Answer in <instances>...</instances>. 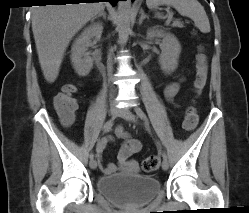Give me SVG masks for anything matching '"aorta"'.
I'll use <instances>...</instances> for the list:
<instances>
[{
	"instance_id": "1",
	"label": "aorta",
	"mask_w": 249,
	"mask_h": 213,
	"mask_svg": "<svg viewBox=\"0 0 249 213\" xmlns=\"http://www.w3.org/2000/svg\"><path fill=\"white\" fill-rule=\"evenodd\" d=\"M130 0L118 2V36L119 43L125 45L128 41L130 31Z\"/></svg>"
}]
</instances>
